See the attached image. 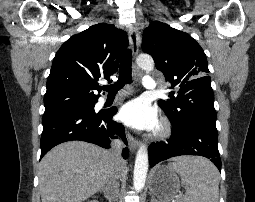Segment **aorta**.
Returning a JSON list of instances; mask_svg holds the SVG:
<instances>
[{
    "instance_id": "762f6f07",
    "label": "aorta",
    "mask_w": 255,
    "mask_h": 202,
    "mask_svg": "<svg viewBox=\"0 0 255 202\" xmlns=\"http://www.w3.org/2000/svg\"><path fill=\"white\" fill-rule=\"evenodd\" d=\"M136 63L146 72H151L154 68V60L149 55H139L136 59ZM148 164V148L146 145L142 144L137 151L133 175V186L137 192L142 191L145 186Z\"/></svg>"
}]
</instances>
